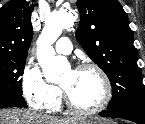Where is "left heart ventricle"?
Wrapping results in <instances>:
<instances>
[{
    "instance_id": "b2bd125f",
    "label": "left heart ventricle",
    "mask_w": 145,
    "mask_h": 124,
    "mask_svg": "<svg viewBox=\"0 0 145 124\" xmlns=\"http://www.w3.org/2000/svg\"><path fill=\"white\" fill-rule=\"evenodd\" d=\"M59 84L66 89L73 102L82 108L96 106L104 96L102 79L94 70H68Z\"/></svg>"
}]
</instances>
